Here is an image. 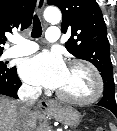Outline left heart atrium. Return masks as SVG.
Here are the masks:
<instances>
[{
	"instance_id": "obj_1",
	"label": "left heart atrium",
	"mask_w": 117,
	"mask_h": 131,
	"mask_svg": "<svg viewBox=\"0 0 117 131\" xmlns=\"http://www.w3.org/2000/svg\"><path fill=\"white\" fill-rule=\"evenodd\" d=\"M67 66L59 53L43 52L20 63L21 77L34 85L58 89L64 82Z\"/></svg>"
}]
</instances>
